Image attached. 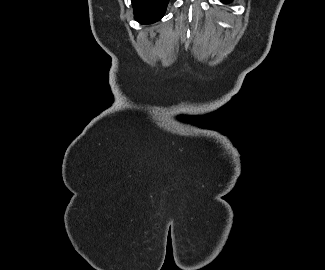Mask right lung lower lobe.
I'll list each match as a JSON object with an SVG mask.
<instances>
[{
	"label": "right lung lower lobe",
	"instance_id": "right-lung-lower-lobe-1",
	"mask_svg": "<svg viewBox=\"0 0 325 270\" xmlns=\"http://www.w3.org/2000/svg\"><path fill=\"white\" fill-rule=\"evenodd\" d=\"M169 0H132L135 19L143 24H150L161 19Z\"/></svg>",
	"mask_w": 325,
	"mask_h": 270
}]
</instances>
